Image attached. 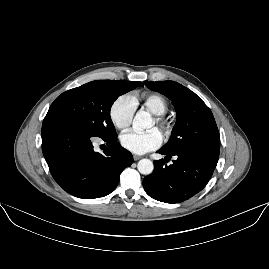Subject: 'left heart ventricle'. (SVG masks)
Masks as SVG:
<instances>
[{"mask_svg": "<svg viewBox=\"0 0 269 269\" xmlns=\"http://www.w3.org/2000/svg\"><path fill=\"white\" fill-rule=\"evenodd\" d=\"M150 129H158V125H157V122H156L155 119H154V121H153V123H152Z\"/></svg>", "mask_w": 269, "mask_h": 269, "instance_id": "obj_1", "label": "left heart ventricle"}]
</instances>
